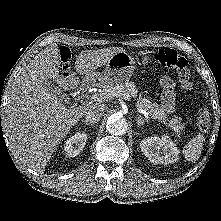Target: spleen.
<instances>
[{"mask_svg": "<svg viewBox=\"0 0 221 221\" xmlns=\"http://www.w3.org/2000/svg\"><path fill=\"white\" fill-rule=\"evenodd\" d=\"M205 137L201 134L196 135L183 149V154L188 161L196 162L201 156Z\"/></svg>", "mask_w": 221, "mask_h": 221, "instance_id": "1", "label": "spleen"}]
</instances>
